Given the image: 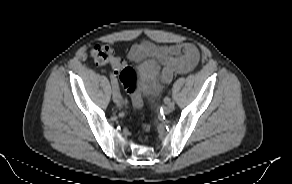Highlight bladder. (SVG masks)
<instances>
[{"instance_id":"obj_1","label":"bladder","mask_w":292,"mask_h":184,"mask_svg":"<svg viewBox=\"0 0 292 184\" xmlns=\"http://www.w3.org/2000/svg\"><path fill=\"white\" fill-rule=\"evenodd\" d=\"M158 65L154 62L143 61L137 66L136 87L140 95L152 96L159 89L157 80Z\"/></svg>"}]
</instances>
